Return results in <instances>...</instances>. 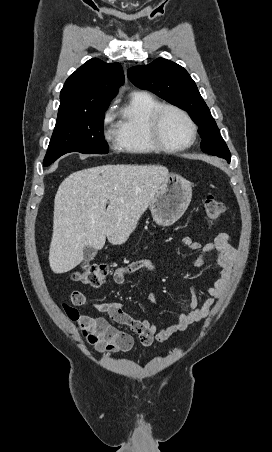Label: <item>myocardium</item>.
<instances>
[{
	"label": "myocardium",
	"mask_w": 272,
	"mask_h": 452,
	"mask_svg": "<svg viewBox=\"0 0 272 452\" xmlns=\"http://www.w3.org/2000/svg\"><path fill=\"white\" fill-rule=\"evenodd\" d=\"M168 110L179 113L188 123L190 128V138L187 142L179 145H170L163 139L161 133V120L163 114ZM149 134L152 142L159 150L177 152L189 148L195 142L197 136V126L188 112L183 108L173 104H162L150 117Z\"/></svg>",
	"instance_id": "f54148a6"
}]
</instances>
